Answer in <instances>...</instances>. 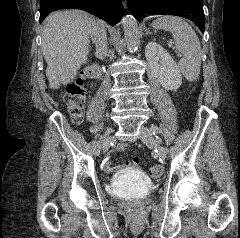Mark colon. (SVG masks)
<instances>
[{"mask_svg": "<svg viewBox=\"0 0 240 238\" xmlns=\"http://www.w3.org/2000/svg\"><path fill=\"white\" fill-rule=\"evenodd\" d=\"M100 76V68L93 64L85 68L75 80L66 87L65 102L74 123L80 124L84 118V109L89 95L88 80H96ZM152 177L157 178L163 174L161 165H154L150 169Z\"/></svg>", "mask_w": 240, "mask_h": 238, "instance_id": "colon-1", "label": "colon"}]
</instances>
